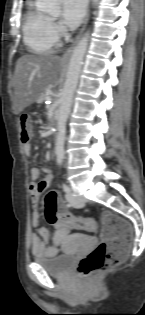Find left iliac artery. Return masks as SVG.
<instances>
[{
  "label": "left iliac artery",
  "instance_id": "left-iliac-artery-1",
  "mask_svg": "<svg viewBox=\"0 0 145 315\" xmlns=\"http://www.w3.org/2000/svg\"><path fill=\"white\" fill-rule=\"evenodd\" d=\"M62 188H63V190H64L66 193H68V192L71 191V190H70V187H69L66 183H63V184H62Z\"/></svg>",
  "mask_w": 145,
  "mask_h": 315
}]
</instances>
